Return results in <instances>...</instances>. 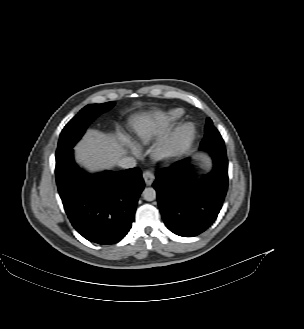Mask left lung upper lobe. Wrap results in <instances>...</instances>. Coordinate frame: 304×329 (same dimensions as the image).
Masks as SVG:
<instances>
[{
    "mask_svg": "<svg viewBox=\"0 0 304 329\" xmlns=\"http://www.w3.org/2000/svg\"><path fill=\"white\" fill-rule=\"evenodd\" d=\"M213 123L211 121L210 118L207 119V122H206V127H205V133L207 134L208 132H210L213 128Z\"/></svg>",
    "mask_w": 304,
    "mask_h": 329,
    "instance_id": "1",
    "label": "left lung upper lobe"
}]
</instances>
